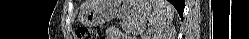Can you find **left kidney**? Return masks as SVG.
Returning <instances> with one entry per match:
<instances>
[{
	"mask_svg": "<svg viewBox=\"0 0 249 39\" xmlns=\"http://www.w3.org/2000/svg\"><path fill=\"white\" fill-rule=\"evenodd\" d=\"M143 39H171L167 34L162 32L151 30L146 35L143 36Z\"/></svg>",
	"mask_w": 249,
	"mask_h": 39,
	"instance_id": "left-kidney-1",
	"label": "left kidney"
}]
</instances>
